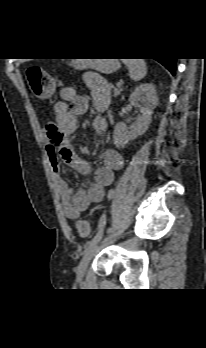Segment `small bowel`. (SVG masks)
<instances>
[{"instance_id": "obj_1", "label": "small bowel", "mask_w": 206, "mask_h": 348, "mask_svg": "<svg viewBox=\"0 0 206 348\" xmlns=\"http://www.w3.org/2000/svg\"><path fill=\"white\" fill-rule=\"evenodd\" d=\"M83 81L90 90V97L95 110H105L110 102L111 89L109 83L99 74L87 72ZM89 109V98L79 94L74 86L67 85L60 90V100L54 105L55 119L46 126V154L51 170L55 176L57 192L64 206L65 216L76 220L80 214L93 203L103 200L105 189L113 182L114 173L121 170L124 158L115 149L103 153V164L94 173V181L87 187L73 193L68 181L61 174V163L65 162L75 167L79 172L89 171L86 161L77 157L69 142L77 129V118ZM107 121L103 116L92 120V129L98 135L106 133Z\"/></svg>"}]
</instances>
